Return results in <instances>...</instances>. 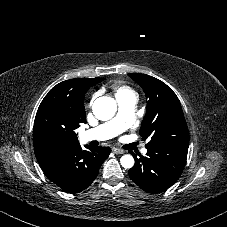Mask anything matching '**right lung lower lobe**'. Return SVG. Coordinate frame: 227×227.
<instances>
[{
  "label": "right lung lower lobe",
  "mask_w": 227,
  "mask_h": 227,
  "mask_svg": "<svg viewBox=\"0 0 227 227\" xmlns=\"http://www.w3.org/2000/svg\"><path fill=\"white\" fill-rule=\"evenodd\" d=\"M86 148L89 150H83L78 143L40 162V167L63 191L78 193L95 180L103 161L111 152V149L106 147Z\"/></svg>",
  "instance_id": "98d812e1"
}]
</instances>
